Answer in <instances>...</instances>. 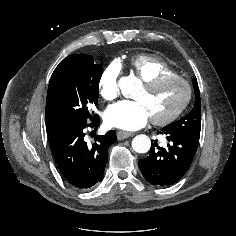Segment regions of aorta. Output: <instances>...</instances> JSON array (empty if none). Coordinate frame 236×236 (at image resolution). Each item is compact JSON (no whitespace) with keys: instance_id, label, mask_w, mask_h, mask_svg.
I'll return each instance as SVG.
<instances>
[{"instance_id":"1","label":"aorta","mask_w":236,"mask_h":236,"mask_svg":"<svg viewBox=\"0 0 236 236\" xmlns=\"http://www.w3.org/2000/svg\"><path fill=\"white\" fill-rule=\"evenodd\" d=\"M129 82L124 80L121 82L122 93H126V89L129 86ZM151 147V140L145 134L137 135L132 140V148L137 153H147Z\"/></svg>"}]
</instances>
